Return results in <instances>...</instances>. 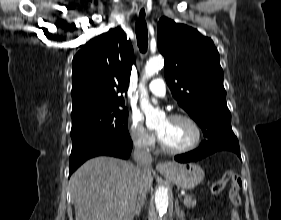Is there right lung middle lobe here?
I'll list each match as a JSON object with an SVG mask.
<instances>
[{
  "label": "right lung middle lobe",
  "mask_w": 281,
  "mask_h": 220,
  "mask_svg": "<svg viewBox=\"0 0 281 220\" xmlns=\"http://www.w3.org/2000/svg\"><path fill=\"white\" fill-rule=\"evenodd\" d=\"M128 110L119 108L72 118V146L88 141L130 140Z\"/></svg>",
  "instance_id": "1"
}]
</instances>
